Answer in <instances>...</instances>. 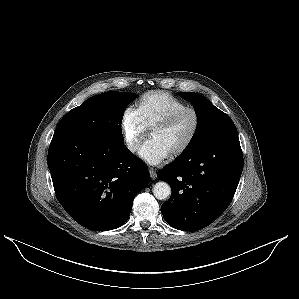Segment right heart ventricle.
Returning <instances> with one entry per match:
<instances>
[{
  "mask_svg": "<svg viewBox=\"0 0 299 299\" xmlns=\"http://www.w3.org/2000/svg\"><path fill=\"white\" fill-rule=\"evenodd\" d=\"M186 107V103L169 92L151 91L138 100L135 110L149 129L156 122Z\"/></svg>",
  "mask_w": 299,
  "mask_h": 299,
  "instance_id": "e07e8e85",
  "label": "right heart ventricle"
}]
</instances>
